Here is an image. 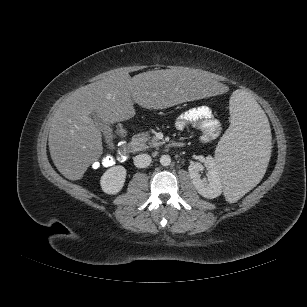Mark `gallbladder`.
<instances>
[{
    "label": "gallbladder",
    "mask_w": 307,
    "mask_h": 307,
    "mask_svg": "<svg viewBox=\"0 0 307 307\" xmlns=\"http://www.w3.org/2000/svg\"><path fill=\"white\" fill-rule=\"evenodd\" d=\"M90 117L92 118L94 124L100 129L103 133L105 140L109 142L113 137L112 129L110 125L105 122V120L96 112H93Z\"/></svg>",
    "instance_id": "bac80fb5"
}]
</instances>
